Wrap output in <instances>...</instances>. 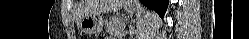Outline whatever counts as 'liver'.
<instances>
[{
	"instance_id": "1",
	"label": "liver",
	"mask_w": 249,
	"mask_h": 39,
	"mask_svg": "<svg viewBox=\"0 0 249 39\" xmlns=\"http://www.w3.org/2000/svg\"><path fill=\"white\" fill-rule=\"evenodd\" d=\"M124 0H82L79 6L78 22L88 14L116 12L123 7Z\"/></svg>"
}]
</instances>
